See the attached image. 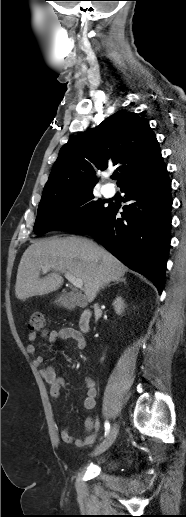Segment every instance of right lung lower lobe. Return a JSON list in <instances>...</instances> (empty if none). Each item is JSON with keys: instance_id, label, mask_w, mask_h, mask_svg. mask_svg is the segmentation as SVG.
Masks as SVG:
<instances>
[{"instance_id": "98d812e1", "label": "right lung lower lobe", "mask_w": 186, "mask_h": 517, "mask_svg": "<svg viewBox=\"0 0 186 517\" xmlns=\"http://www.w3.org/2000/svg\"><path fill=\"white\" fill-rule=\"evenodd\" d=\"M127 201L122 218L108 206L76 233L90 234L129 268L150 279L161 294L170 246L171 181L161 163L122 187Z\"/></svg>"}]
</instances>
